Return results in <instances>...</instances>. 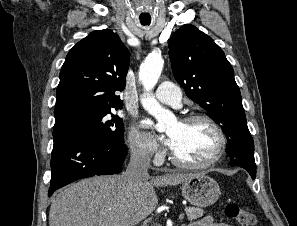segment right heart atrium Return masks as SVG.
<instances>
[{"instance_id":"right-heart-atrium-1","label":"right heart atrium","mask_w":297,"mask_h":226,"mask_svg":"<svg viewBox=\"0 0 297 226\" xmlns=\"http://www.w3.org/2000/svg\"><path fill=\"white\" fill-rule=\"evenodd\" d=\"M128 146L132 157L139 162L148 164L160 157L155 141L135 128L129 133Z\"/></svg>"}]
</instances>
